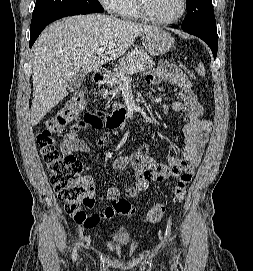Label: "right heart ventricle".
<instances>
[{"instance_id":"right-heart-ventricle-1","label":"right heart ventricle","mask_w":253,"mask_h":271,"mask_svg":"<svg viewBox=\"0 0 253 271\" xmlns=\"http://www.w3.org/2000/svg\"><path fill=\"white\" fill-rule=\"evenodd\" d=\"M119 13L122 17L127 19L135 20L142 18L136 0H124Z\"/></svg>"}]
</instances>
